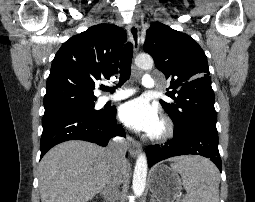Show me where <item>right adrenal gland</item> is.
I'll list each match as a JSON object with an SVG mask.
<instances>
[{
	"mask_svg": "<svg viewBox=\"0 0 255 202\" xmlns=\"http://www.w3.org/2000/svg\"><path fill=\"white\" fill-rule=\"evenodd\" d=\"M100 195L103 196V198L105 199L106 202H108V201H109V202H114V200H111V199L108 198V196H107V194H106L105 191H101V192H100Z\"/></svg>",
	"mask_w": 255,
	"mask_h": 202,
	"instance_id": "obj_1",
	"label": "right adrenal gland"
}]
</instances>
